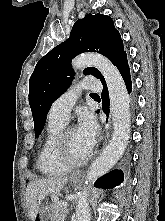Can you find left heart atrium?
I'll return each mask as SVG.
<instances>
[{
    "instance_id": "left-heart-atrium-1",
    "label": "left heart atrium",
    "mask_w": 165,
    "mask_h": 221,
    "mask_svg": "<svg viewBox=\"0 0 165 221\" xmlns=\"http://www.w3.org/2000/svg\"><path fill=\"white\" fill-rule=\"evenodd\" d=\"M81 137L92 148L98 136V125L94 117L89 113H84L77 128Z\"/></svg>"
}]
</instances>
